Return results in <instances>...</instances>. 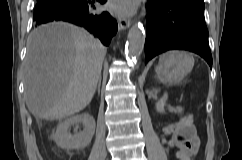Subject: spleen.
<instances>
[{
	"instance_id": "obj_1",
	"label": "spleen",
	"mask_w": 242,
	"mask_h": 160,
	"mask_svg": "<svg viewBox=\"0 0 242 160\" xmlns=\"http://www.w3.org/2000/svg\"><path fill=\"white\" fill-rule=\"evenodd\" d=\"M167 98V95L165 94L164 97L161 99V103Z\"/></svg>"
}]
</instances>
